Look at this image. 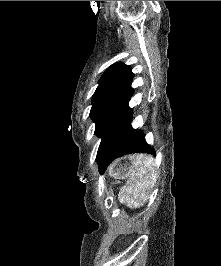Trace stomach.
<instances>
[{"label": "stomach", "instance_id": "1", "mask_svg": "<svg viewBox=\"0 0 221 266\" xmlns=\"http://www.w3.org/2000/svg\"><path fill=\"white\" fill-rule=\"evenodd\" d=\"M130 161H132V156L127 159L115 161L109 167L110 175L115 179H126L130 177L134 171V166Z\"/></svg>", "mask_w": 221, "mask_h": 266}]
</instances>
